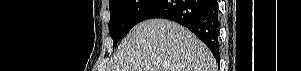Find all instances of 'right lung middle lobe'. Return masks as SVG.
I'll list each match as a JSON object with an SVG mask.
<instances>
[{
  "label": "right lung middle lobe",
  "instance_id": "right-lung-middle-lobe-1",
  "mask_svg": "<svg viewBox=\"0 0 301 71\" xmlns=\"http://www.w3.org/2000/svg\"><path fill=\"white\" fill-rule=\"evenodd\" d=\"M156 0H110L109 34L114 45L140 21V16Z\"/></svg>",
  "mask_w": 301,
  "mask_h": 71
}]
</instances>
